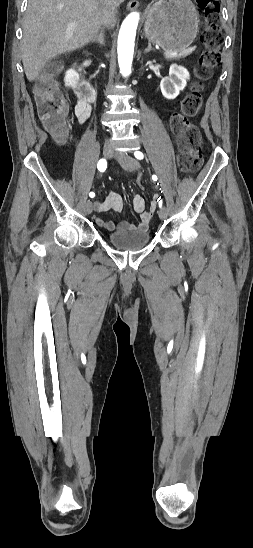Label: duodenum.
<instances>
[{
	"instance_id": "410a0bca",
	"label": "duodenum",
	"mask_w": 253,
	"mask_h": 548,
	"mask_svg": "<svg viewBox=\"0 0 253 548\" xmlns=\"http://www.w3.org/2000/svg\"><path fill=\"white\" fill-rule=\"evenodd\" d=\"M77 78L74 82V90L82 100L91 102L96 97V90L92 83L85 77L80 68L76 69Z\"/></svg>"
}]
</instances>
